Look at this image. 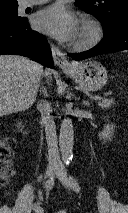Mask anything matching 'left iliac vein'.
<instances>
[{"label": "left iliac vein", "instance_id": "1", "mask_svg": "<svg viewBox=\"0 0 128 213\" xmlns=\"http://www.w3.org/2000/svg\"><path fill=\"white\" fill-rule=\"evenodd\" d=\"M56 174H57V178L61 182V184L63 186H65L66 188L70 189L71 184H70L69 178L67 176L66 170L63 167H60V168H58V172Z\"/></svg>", "mask_w": 128, "mask_h": 213}]
</instances>
